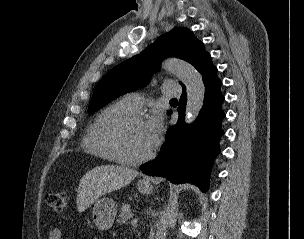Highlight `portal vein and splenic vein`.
Segmentation results:
<instances>
[{
    "mask_svg": "<svg viewBox=\"0 0 304 239\" xmlns=\"http://www.w3.org/2000/svg\"><path fill=\"white\" fill-rule=\"evenodd\" d=\"M137 222H138V219H137V218H134V219L131 221V224H132V225H135V224H137Z\"/></svg>",
    "mask_w": 304,
    "mask_h": 239,
    "instance_id": "portal-vein-and-splenic-vein-1",
    "label": "portal vein and splenic vein"
}]
</instances>
